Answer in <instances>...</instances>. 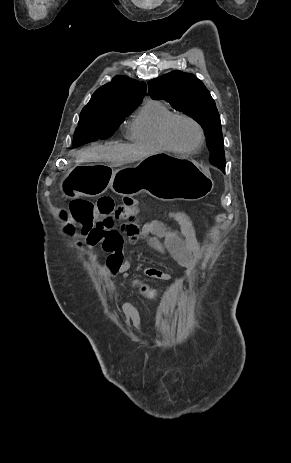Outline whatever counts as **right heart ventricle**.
I'll return each instance as SVG.
<instances>
[{"label": "right heart ventricle", "instance_id": "1", "mask_svg": "<svg viewBox=\"0 0 291 463\" xmlns=\"http://www.w3.org/2000/svg\"><path fill=\"white\" fill-rule=\"evenodd\" d=\"M175 113L158 100H147L128 126L130 141L155 150L170 151L162 137V127Z\"/></svg>", "mask_w": 291, "mask_h": 463}]
</instances>
